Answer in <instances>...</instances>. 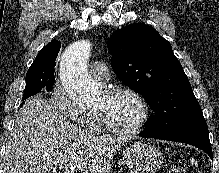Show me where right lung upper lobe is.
I'll use <instances>...</instances> for the list:
<instances>
[{
    "instance_id": "right-lung-upper-lobe-1",
    "label": "right lung upper lobe",
    "mask_w": 219,
    "mask_h": 173,
    "mask_svg": "<svg viewBox=\"0 0 219 173\" xmlns=\"http://www.w3.org/2000/svg\"><path fill=\"white\" fill-rule=\"evenodd\" d=\"M61 43L58 40H52L38 53L31 66H39L45 72L55 73V60L60 51Z\"/></svg>"
}]
</instances>
